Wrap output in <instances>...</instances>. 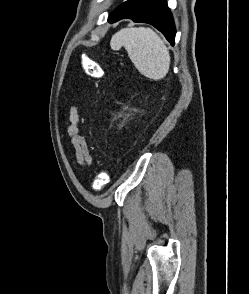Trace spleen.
Instances as JSON below:
<instances>
[{"instance_id":"spleen-1","label":"spleen","mask_w":249,"mask_h":294,"mask_svg":"<svg viewBox=\"0 0 249 294\" xmlns=\"http://www.w3.org/2000/svg\"><path fill=\"white\" fill-rule=\"evenodd\" d=\"M110 45L113 50L124 47L137 70L147 78L159 80L169 71V51L150 28H123L113 35Z\"/></svg>"}]
</instances>
